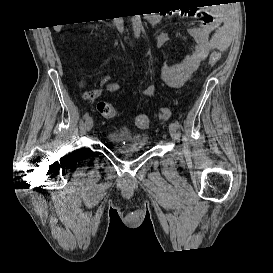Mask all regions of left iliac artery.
Returning a JSON list of instances; mask_svg holds the SVG:
<instances>
[{"label": "left iliac artery", "instance_id": "44dca946", "mask_svg": "<svg viewBox=\"0 0 273 273\" xmlns=\"http://www.w3.org/2000/svg\"><path fill=\"white\" fill-rule=\"evenodd\" d=\"M175 127L178 129V128H180V124H179V122L178 121H175Z\"/></svg>", "mask_w": 273, "mask_h": 273}]
</instances>
